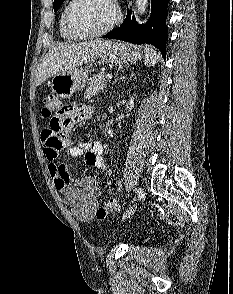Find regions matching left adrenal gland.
I'll list each match as a JSON object with an SVG mask.
<instances>
[{
    "label": "left adrenal gland",
    "instance_id": "left-adrenal-gland-1",
    "mask_svg": "<svg viewBox=\"0 0 233 294\" xmlns=\"http://www.w3.org/2000/svg\"><path fill=\"white\" fill-rule=\"evenodd\" d=\"M132 76H133V73H132ZM120 79H125V77H121ZM117 81V80H116Z\"/></svg>",
    "mask_w": 233,
    "mask_h": 294
}]
</instances>
